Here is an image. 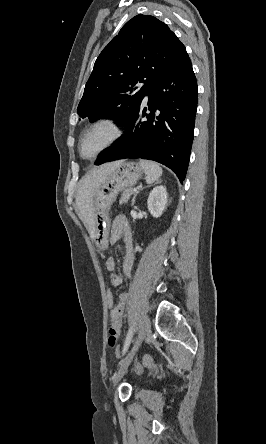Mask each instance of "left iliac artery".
<instances>
[{
    "label": "left iliac artery",
    "mask_w": 266,
    "mask_h": 444,
    "mask_svg": "<svg viewBox=\"0 0 266 444\" xmlns=\"http://www.w3.org/2000/svg\"><path fill=\"white\" fill-rule=\"evenodd\" d=\"M132 336H133V327L131 326L130 329H129V331H128V334H127V337H126V339H125V342H124V346H123V355L126 353V351H127L128 348H129V345H130V343H131Z\"/></svg>",
    "instance_id": "left-iliac-artery-1"
}]
</instances>
